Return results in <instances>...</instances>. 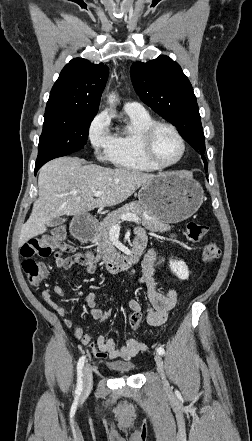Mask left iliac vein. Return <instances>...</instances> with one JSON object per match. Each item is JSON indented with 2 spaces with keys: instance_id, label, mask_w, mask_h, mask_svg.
<instances>
[{
  "instance_id": "4c4485c4",
  "label": "left iliac vein",
  "mask_w": 252,
  "mask_h": 441,
  "mask_svg": "<svg viewBox=\"0 0 252 441\" xmlns=\"http://www.w3.org/2000/svg\"><path fill=\"white\" fill-rule=\"evenodd\" d=\"M155 362H156V366H157V371L162 379L163 384H167L166 378H165V373H164V362L162 357L157 354L155 355Z\"/></svg>"
}]
</instances>
